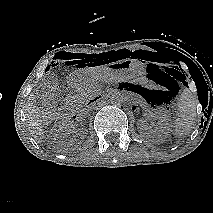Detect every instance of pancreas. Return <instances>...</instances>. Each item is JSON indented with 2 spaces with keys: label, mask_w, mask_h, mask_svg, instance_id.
<instances>
[{
  "label": "pancreas",
  "mask_w": 213,
  "mask_h": 213,
  "mask_svg": "<svg viewBox=\"0 0 213 213\" xmlns=\"http://www.w3.org/2000/svg\"><path fill=\"white\" fill-rule=\"evenodd\" d=\"M97 94H98L97 84L94 82L88 83L79 89V100L82 103L88 102L93 97H95Z\"/></svg>",
  "instance_id": "obj_1"
}]
</instances>
